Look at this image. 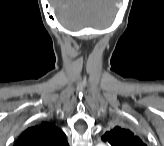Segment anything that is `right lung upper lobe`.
I'll use <instances>...</instances> for the list:
<instances>
[{
	"label": "right lung upper lobe",
	"mask_w": 164,
	"mask_h": 146,
	"mask_svg": "<svg viewBox=\"0 0 164 146\" xmlns=\"http://www.w3.org/2000/svg\"><path fill=\"white\" fill-rule=\"evenodd\" d=\"M66 135L53 124L43 122L26 129L15 146H67Z\"/></svg>",
	"instance_id": "right-lung-upper-lobe-1"
}]
</instances>
